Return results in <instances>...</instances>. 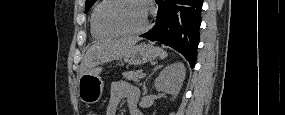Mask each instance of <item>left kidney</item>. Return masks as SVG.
Segmentation results:
<instances>
[{
    "label": "left kidney",
    "mask_w": 285,
    "mask_h": 115,
    "mask_svg": "<svg viewBox=\"0 0 285 115\" xmlns=\"http://www.w3.org/2000/svg\"><path fill=\"white\" fill-rule=\"evenodd\" d=\"M186 69L182 62H175L166 66L155 80V87L173 96L179 93L185 79Z\"/></svg>",
    "instance_id": "1"
}]
</instances>
